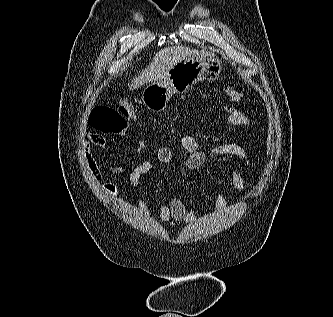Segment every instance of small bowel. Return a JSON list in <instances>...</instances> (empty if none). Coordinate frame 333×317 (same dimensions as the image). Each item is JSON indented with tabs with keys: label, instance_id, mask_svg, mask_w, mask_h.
Segmentation results:
<instances>
[{
	"label": "small bowel",
	"instance_id": "c3829d8e",
	"mask_svg": "<svg viewBox=\"0 0 333 317\" xmlns=\"http://www.w3.org/2000/svg\"><path fill=\"white\" fill-rule=\"evenodd\" d=\"M227 112L226 123L230 126H244L250 125V120L247 115L239 109L234 107H225ZM182 148V165L184 168L189 170H201L205 166L206 154L201 150L200 144L196 138L190 135H184L180 140ZM106 139L97 133L90 134L87 137L84 150V159L87 168L90 170L93 179L96 182L101 180V172L98 165L92 155L91 147H96L100 149L106 148ZM145 145L142 141L137 142L136 150L142 151ZM214 156H227L233 157L240 160L245 166L247 171L252 168L251 158L248 152L240 145L235 143H224L214 147L211 151ZM156 159L160 164L168 165L172 162L173 153L172 150L167 146H160L156 150ZM153 168V164L150 160L146 159L137 165L130 173L128 181L124 184L136 193L138 201L143 203L140 188H141V178L143 175L148 173ZM111 170L116 174L123 173L124 169L120 166L111 167ZM230 180L233 187L238 192H243L245 190V181L241 173L235 169L231 168ZM105 189L110 193L116 195L118 194V188L113 183H107L104 185ZM215 210L217 213H222L225 209L226 201L223 193L221 191H216L214 194ZM159 214L162 222H180L186 224H193L196 220V211L194 207H186L184 202L178 197H172L168 203H160Z\"/></svg>",
	"mask_w": 333,
	"mask_h": 317
}]
</instances>
